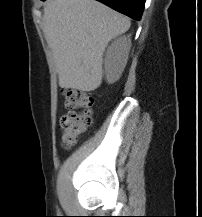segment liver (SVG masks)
Here are the masks:
<instances>
[{
	"label": "liver",
	"mask_w": 202,
	"mask_h": 217,
	"mask_svg": "<svg viewBox=\"0 0 202 217\" xmlns=\"http://www.w3.org/2000/svg\"><path fill=\"white\" fill-rule=\"evenodd\" d=\"M130 25L128 17L96 0H48L42 30L55 59L59 86L97 89L106 46Z\"/></svg>",
	"instance_id": "6515ba94"
}]
</instances>
